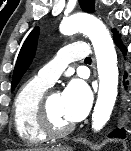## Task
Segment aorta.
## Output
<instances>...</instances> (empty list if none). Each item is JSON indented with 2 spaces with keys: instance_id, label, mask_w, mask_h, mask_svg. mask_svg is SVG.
Listing matches in <instances>:
<instances>
[{
  "instance_id": "1",
  "label": "aorta",
  "mask_w": 131,
  "mask_h": 151,
  "mask_svg": "<svg viewBox=\"0 0 131 151\" xmlns=\"http://www.w3.org/2000/svg\"><path fill=\"white\" fill-rule=\"evenodd\" d=\"M60 31L65 35L81 32L91 40L97 60L99 91L92 115V128L101 130L110 119L118 88L117 55L111 35L96 17L80 13L64 19Z\"/></svg>"
}]
</instances>
